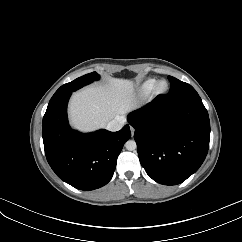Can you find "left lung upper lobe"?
I'll return each mask as SVG.
<instances>
[{
	"instance_id": "left-lung-upper-lobe-1",
	"label": "left lung upper lobe",
	"mask_w": 242,
	"mask_h": 242,
	"mask_svg": "<svg viewBox=\"0 0 242 242\" xmlns=\"http://www.w3.org/2000/svg\"><path fill=\"white\" fill-rule=\"evenodd\" d=\"M168 79L171 82L170 91L167 95L163 96L178 97L189 94H197L195 89L188 83L182 82L172 76H168Z\"/></svg>"
}]
</instances>
